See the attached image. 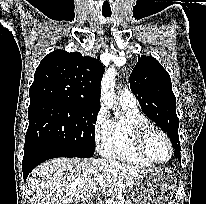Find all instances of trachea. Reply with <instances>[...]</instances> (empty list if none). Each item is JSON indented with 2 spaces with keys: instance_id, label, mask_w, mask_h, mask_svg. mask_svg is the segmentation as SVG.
I'll return each instance as SVG.
<instances>
[{
  "instance_id": "obj_1",
  "label": "trachea",
  "mask_w": 206,
  "mask_h": 204,
  "mask_svg": "<svg viewBox=\"0 0 206 204\" xmlns=\"http://www.w3.org/2000/svg\"><path fill=\"white\" fill-rule=\"evenodd\" d=\"M102 15H103L104 17H109V16H111L110 13H102Z\"/></svg>"
}]
</instances>
